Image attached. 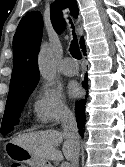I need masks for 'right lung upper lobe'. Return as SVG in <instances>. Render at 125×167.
Segmentation results:
<instances>
[{"mask_svg":"<svg viewBox=\"0 0 125 167\" xmlns=\"http://www.w3.org/2000/svg\"><path fill=\"white\" fill-rule=\"evenodd\" d=\"M63 5L69 7L74 18L78 15L76 0H56L51 5L50 17L57 33L61 32L65 26L61 11ZM42 29L43 19L38 11L30 12L21 19L13 38V72L8 97L33 90L36 87L40 78L37 53L41 43ZM83 43L84 39L81 38L80 45Z\"/></svg>","mask_w":125,"mask_h":167,"instance_id":"right-lung-upper-lobe-1","label":"right lung upper lobe"}]
</instances>
